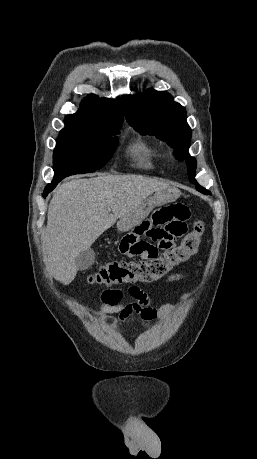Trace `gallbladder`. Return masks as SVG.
<instances>
[{
	"mask_svg": "<svg viewBox=\"0 0 257 459\" xmlns=\"http://www.w3.org/2000/svg\"><path fill=\"white\" fill-rule=\"evenodd\" d=\"M95 252L89 248L79 253L75 259L78 270L83 271L88 269L94 262Z\"/></svg>",
	"mask_w": 257,
	"mask_h": 459,
	"instance_id": "bac80fb5",
	"label": "gallbladder"
}]
</instances>
